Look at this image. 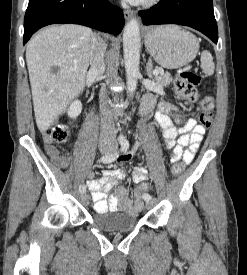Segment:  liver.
Here are the masks:
<instances>
[{"mask_svg":"<svg viewBox=\"0 0 247 275\" xmlns=\"http://www.w3.org/2000/svg\"><path fill=\"white\" fill-rule=\"evenodd\" d=\"M93 32L74 24L53 25L34 36L26 62L38 129L46 131L85 86Z\"/></svg>","mask_w":247,"mask_h":275,"instance_id":"6515ba94","label":"liver"}]
</instances>
